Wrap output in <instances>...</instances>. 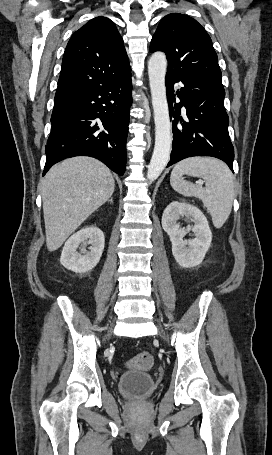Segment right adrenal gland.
<instances>
[{"label":"right adrenal gland","mask_w":272,"mask_h":455,"mask_svg":"<svg viewBox=\"0 0 272 455\" xmlns=\"http://www.w3.org/2000/svg\"><path fill=\"white\" fill-rule=\"evenodd\" d=\"M108 202L113 203V198L111 197Z\"/></svg>","instance_id":"obj_1"}]
</instances>
